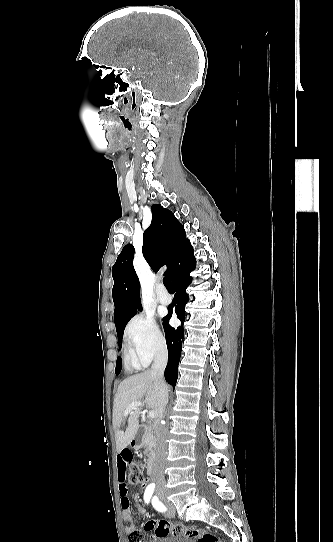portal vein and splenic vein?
<instances>
[{"label":"portal vein and splenic vein","mask_w":333,"mask_h":542,"mask_svg":"<svg viewBox=\"0 0 333 542\" xmlns=\"http://www.w3.org/2000/svg\"><path fill=\"white\" fill-rule=\"evenodd\" d=\"M139 406H143V404H141V402H133V404H131V406H129V408L125 410V416H127V414H130L131 410L139 408ZM148 416L149 418H156V412H148Z\"/></svg>","instance_id":"portal-vein-and-splenic-vein-1"}]
</instances>
